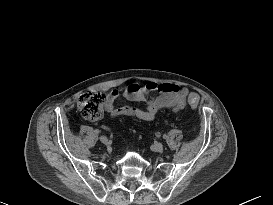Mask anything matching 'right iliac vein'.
<instances>
[{"instance_id":"obj_1","label":"right iliac vein","mask_w":273,"mask_h":205,"mask_svg":"<svg viewBox=\"0 0 273 205\" xmlns=\"http://www.w3.org/2000/svg\"><path fill=\"white\" fill-rule=\"evenodd\" d=\"M100 141L103 143V144H107L108 143V139L106 136H100Z\"/></svg>"}]
</instances>
